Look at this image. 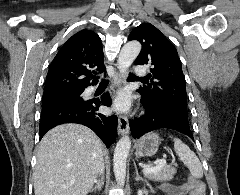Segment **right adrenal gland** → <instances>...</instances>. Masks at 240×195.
I'll return each mask as SVG.
<instances>
[{"label": "right adrenal gland", "mask_w": 240, "mask_h": 195, "mask_svg": "<svg viewBox=\"0 0 240 195\" xmlns=\"http://www.w3.org/2000/svg\"><path fill=\"white\" fill-rule=\"evenodd\" d=\"M95 183L96 185H94V187H91L90 191H96V189H102L104 185L103 175H101V179H99V181H95Z\"/></svg>", "instance_id": "2a0ac1e0"}]
</instances>
